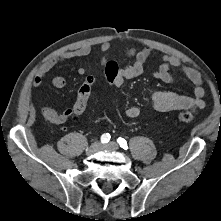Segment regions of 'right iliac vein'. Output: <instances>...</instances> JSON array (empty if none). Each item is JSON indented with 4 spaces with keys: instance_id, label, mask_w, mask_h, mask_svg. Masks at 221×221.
I'll use <instances>...</instances> for the list:
<instances>
[{
    "instance_id": "obj_1",
    "label": "right iliac vein",
    "mask_w": 221,
    "mask_h": 221,
    "mask_svg": "<svg viewBox=\"0 0 221 221\" xmlns=\"http://www.w3.org/2000/svg\"><path fill=\"white\" fill-rule=\"evenodd\" d=\"M101 143H99V142H94L92 145H90V147L86 150V153L88 154V155H92V154H94V153H96L97 151H99L100 150V148H101Z\"/></svg>"
}]
</instances>
